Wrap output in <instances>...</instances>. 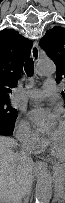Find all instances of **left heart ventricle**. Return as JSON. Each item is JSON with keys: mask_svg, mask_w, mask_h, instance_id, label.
I'll use <instances>...</instances> for the list:
<instances>
[{"mask_svg": "<svg viewBox=\"0 0 65 203\" xmlns=\"http://www.w3.org/2000/svg\"><path fill=\"white\" fill-rule=\"evenodd\" d=\"M50 141L55 150L59 153L65 151V125L61 124L50 134Z\"/></svg>", "mask_w": 65, "mask_h": 203, "instance_id": "b2bd125f", "label": "left heart ventricle"}]
</instances>
